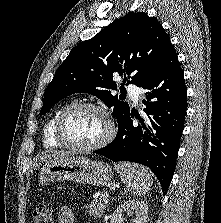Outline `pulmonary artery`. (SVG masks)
I'll use <instances>...</instances> for the list:
<instances>
[{"label":"pulmonary artery","instance_id":"1","mask_svg":"<svg viewBox=\"0 0 221 223\" xmlns=\"http://www.w3.org/2000/svg\"><path fill=\"white\" fill-rule=\"evenodd\" d=\"M129 94L134 103H138L140 95H141V89L135 86L129 87Z\"/></svg>","mask_w":221,"mask_h":223}]
</instances>
